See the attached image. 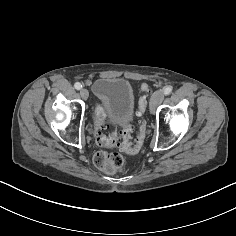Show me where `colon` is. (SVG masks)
Returning <instances> with one entry per match:
<instances>
[{
    "label": "colon",
    "mask_w": 236,
    "mask_h": 236,
    "mask_svg": "<svg viewBox=\"0 0 236 236\" xmlns=\"http://www.w3.org/2000/svg\"><path fill=\"white\" fill-rule=\"evenodd\" d=\"M142 96L138 102V115L143 116L147 106L146 95L150 92V87L147 84H142L140 87ZM107 124L106 115L102 108H97L95 118V137L96 143L103 147H124L130 152H136L141 149L144 144L147 126L145 120H142L139 126V132L136 141L131 144L128 142L130 137L131 125L125 124L122 133L112 132L109 135L103 134ZM94 164L101 170L111 173L123 168L125 159L117 152L100 151L94 156Z\"/></svg>",
    "instance_id": "1"
}]
</instances>
